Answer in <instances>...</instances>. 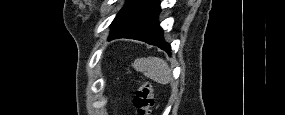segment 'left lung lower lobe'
Segmentation results:
<instances>
[{"mask_svg":"<svg viewBox=\"0 0 285 115\" xmlns=\"http://www.w3.org/2000/svg\"><path fill=\"white\" fill-rule=\"evenodd\" d=\"M160 12L158 0H130L113 20L109 40L130 38L156 45L171 52L163 39V30L157 21Z\"/></svg>","mask_w":285,"mask_h":115,"instance_id":"0a47b994","label":"left lung lower lobe"}]
</instances>
